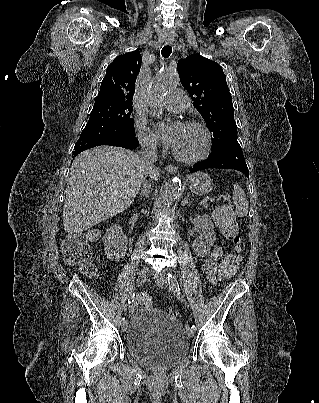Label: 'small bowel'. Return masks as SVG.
Segmentation results:
<instances>
[{"label":"small bowel","instance_id":"obj_1","mask_svg":"<svg viewBox=\"0 0 319 403\" xmlns=\"http://www.w3.org/2000/svg\"><path fill=\"white\" fill-rule=\"evenodd\" d=\"M224 249L222 246H216L209 254V256L205 259L202 265V271L206 275L207 280L210 283H216L218 279L217 271H218V262L222 257ZM232 275H228L226 277H231ZM219 277H225L221 273Z\"/></svg>","mask_w":319,"mask_h":403}]
</instances>
